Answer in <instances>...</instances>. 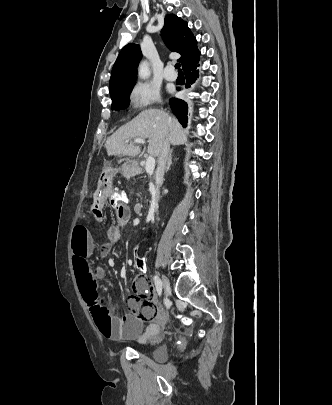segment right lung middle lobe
Instances as JSON below:
<instances>
[{
  "label": "right lung middle lobe",
  "mask_w": 332,
  "mask_h": 405,
  "mask_svg": "<svg viewBox=\"0 0 332 405\" xmlns=\"http://www.w3.org/2000/svg\"><path fill=\"white\" fill-rule=\"evenodd\" d=\"M135 84V80H130L117 84L114 88L110 89V96L112 99V110L119 111L129 106V95Z\"/></svg>",
  "instance_id": "dd1d6c3e"
}]
</instances>
